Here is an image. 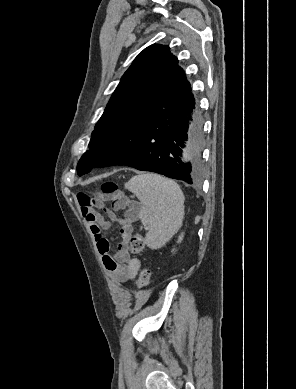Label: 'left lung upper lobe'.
<instances>
[{
	"label": "left lung upper lobe",
	"instance_id": "1",
	"mask_svg": "<svg viewBox=\"0 0 296 389\" xmlns=\"http://www.w3.org/2000/svg\"><path fill=\"white\" fill-rule=\"evenodd\" d=\"M182 73L183 70L178 66L177 58L170 53L168 46L151 45L145 48L121 78L103 115L96 124L89 143V150L78 162V175L81 176L92 168L99 167L94 151L109 129L147 100L163 82Z\"/></svg>",
	"mask_w": 296,
	"mask_h": 389
}]
</instances>
